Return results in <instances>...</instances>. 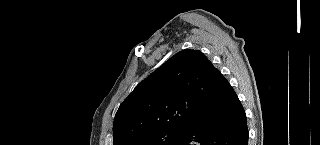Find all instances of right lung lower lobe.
Segmentation results:
<instances>
[{
  "instance_id": "1",
  "label": "right lung lower lobe",
  "mask_w": 320,
  "mask_h": 145,
  "mask_svg": "<svg viewBox=\"0 0 320 145\" xmlns=\"http://www.w3.org/2000/svg\"><path fill=\"white\" fill-rule=\"evenodd\" d=\"M219 101L206 117L190 123L173 145H247L245 111L232 86L224 78Z\"/></svg>"
}]
</instances>
